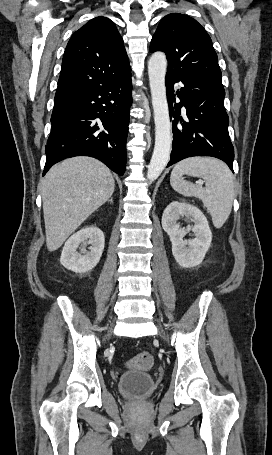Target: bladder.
I'll use <instances>...</instances> for the list:
<instances>
[{"label": "bladder", "instance_id": "bladder-1", "mask_svg": "<svg viewBox=\"0 0 272 455\" xmlns=\"http://www.w3.org/2000/svg\"><path fill=\"white\" fill-rule=\"evenodd\" d=\"M119 393L127 399H142L153 394L156 384L152 376L146 372L126 371L117 381Z\"/></svg>", "mask_w": 272, "mask_h": 455}]
</instances>
